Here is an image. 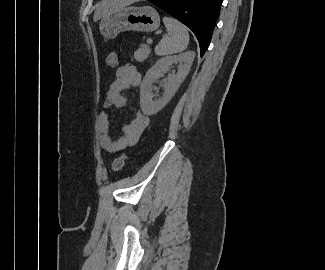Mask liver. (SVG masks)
I'll use <instances>...</instances> for the list:
<instances>
[{
	"label": "liver",
	"instance_id": "1",
	"mask_svg": "<svg viewBox=\"0 0 325 270\" xmlns=\"http://www.w3.org/2000/svg\"><path fill=\"white\" fill-rule=\"evenodd\" d=\"M129 0H102L96 5L93 20L97 22L99 19L107 16L108 14L124 8L129 5Z\"/></svg>",
	"mask_w": 325,
	"mask_h": 270
}]
</instances>
